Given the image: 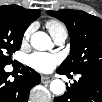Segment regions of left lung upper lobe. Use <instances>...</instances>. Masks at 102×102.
Masks as SVG:
<instances>
[{"mask_svg":"<svg viewBox=\"0 0 102 102\" xmlns=\"http://www.w3.org/2000/svg\"><path fill=\"white\" fill-rule=\"evenodd\" d=\"M65 23L70 55L57 70L64 73L102 72V20L80 10L47 11Z\"/></svg>","mask_w":102,"mask_h":102,"instance_id":"obj_1","label":"left lung upper lobe"}]
</instances>
